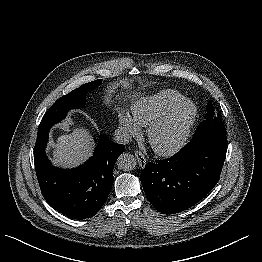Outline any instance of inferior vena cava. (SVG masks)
I'll use <instances>...</instances> for the list:
<instances>
[{
	"label": "inferior vena cava",
	"instance_id": "inferior-vena-cava-1",
	"mask_svg": "<svg viewBox=\"0 0 262 262\" xmlns=\"http://www.w3.org/2000/svg\"><path fill=\"white\" fill-rule=\"evenodd\" d=\"M114 140L118 144H128L131 142V136L122 129H116L114 132Z\"/></svg>",
	"mask_w": 262,
	"mask_h": 262
}]
</instances>
